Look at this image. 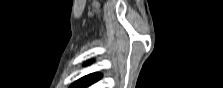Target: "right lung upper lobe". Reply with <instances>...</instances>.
Returning <instances> with one entry per match:
<instances>
[{"label": "right lung upper lobe", "mask_w": 223, "mask_h": 88, "mask_svg": "<svg viewBox=\"0 0 223 88\" xmlns=\"http://www.w3.org/2000/svg\"><path fill=\"white\" fill-rule=\"evenodd\" d=\"M100 78H101V74H90V75H87V76L79 79L78 81H76L71 87L72 88H84V87H87V86L91 85L92 83L96 82Z\"/></svg>", "instance_id": "obj_1"}]
</instances>
